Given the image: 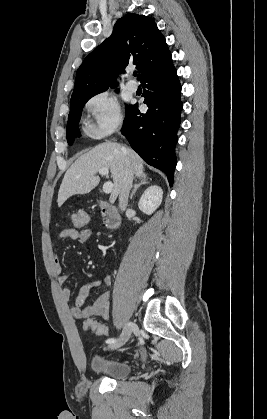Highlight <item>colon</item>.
Masks as SVG:
<instances>
[{"instance_id": "5ec220e1", "label": "colon", "mask_w": 267, "mask_h": 419, "mask_svg": "<svg viewBox=\"0 0 267 419\" xmlns=\"http://www.w3.org/2000/svg\"><path fill=\"white\" fill-rule=\"evenodd\" d=\"M88 218V214L84 211H79L78 213L74 214L72 216L73 229H82L87 224ZM83 328L85 330H91L97 335H107L108 333V328L106 325L92 319L86 320L83 324Z\"/></svg>"}]
</instances>
